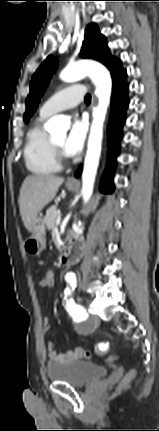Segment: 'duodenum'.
I'll use <instances>...</instances> for the list:
<instances>
[{
    "mask_svg": "<svg viewBox=\"0 0 159 431\" xmlns=\"http://www.w3.org/2000/svg\"><path fill=\"white\" fill-rule=\"evenodd\" d=\"M83 253V241L79 236H71L63 254L59 259V264L66 266L77 261Z\"/></svg>",
    "mask_w": 159,
    "mask_h": 431,
    "instance_id": "duodenum-1",
    "label": "duodenum"
}]
</instances>
